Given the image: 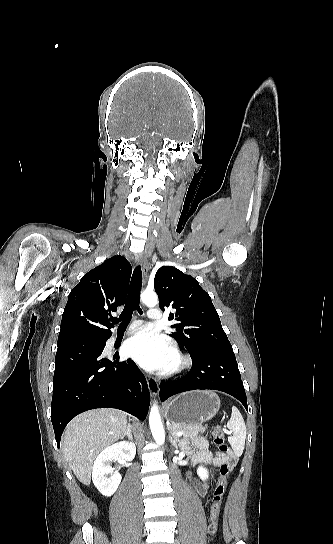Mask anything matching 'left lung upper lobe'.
Segmentation results:
<instances>
[{
  "label": "left lung upper lobe",
  "mask_w": 333,
  "mask_h": 544,
  "mask_svg": "<svg viewBox=\"0 0 333 544\" xmlns=\"http://www.w3.org/2000/svg\"><path fill=\"white\" fill-rule=\"evenodd\" d=\"M154 288L162 311L175 309L169 319L177 332L170 334L190 355L204 350L233 351L224 332L219 315L198 281L172 266H162L155 274Z\"/></svg>",
  "instance_id": "5c2ea615"
}]
</instances>
